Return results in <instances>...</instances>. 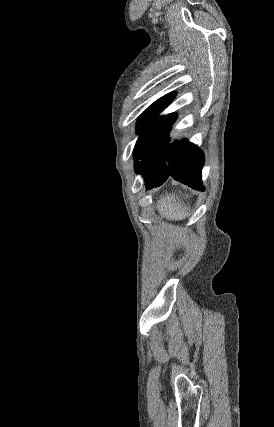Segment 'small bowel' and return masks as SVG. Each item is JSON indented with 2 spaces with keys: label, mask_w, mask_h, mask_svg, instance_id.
<instances>
[{
  "label": "small bowel",
  "mask_w": 274,
  "mask_h": 427,
  "mask_svg": "<svg viewBox=\"0 0 274 427\" xmlns=\"http://www.w3.org/2000/svg\"><path fill=\"white\" fill-rule=\"evenodd\" d=\"M175 254H178V251H175Z\"/></svg>",
  "instance_id": "c3829d8e"
}]
</instances>
